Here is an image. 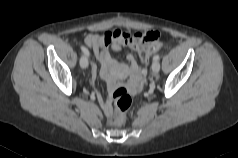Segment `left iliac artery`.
<instances>
[{"instance_id":"obj_1","label":"left iliac artery","mask_w":238,"mask_h":158,"mask_svg":"<svg viewBox=\"0 0 238 158\" xmlns=\"http://www.w3.org/2000/svg\"><path fill=\"white\" fill-rule=\"evenodd\" d=\"M159 59H160V55H155V56L153 57V60H154V61L159 60Z\"/></svg>"}]
</instances>
